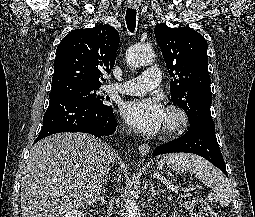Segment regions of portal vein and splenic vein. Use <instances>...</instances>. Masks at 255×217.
<instances>
[{
	"instance_id": "1",
	"label": "portal vein and splenic vein",
	"mask_w": 255,
	"mask_h": 217,
	"mask_svg": "<svg viewBox=\"0 0 255 217\" xmlns=\"http://www.w3.org/2000/svg\"><path fill=\"white\" fill-rule=\"evenodd\" d=\"M191 189L190 188H187V187H185V188H183V191L184 192H189Z\"/></svg>"
}]
</instances>
